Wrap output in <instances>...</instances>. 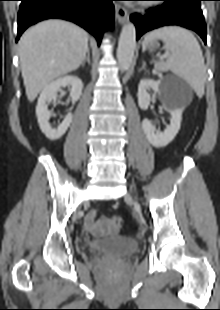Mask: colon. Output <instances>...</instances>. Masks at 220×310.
Masks as SVG:
<instances>
[{"label":"colon","mask_w":220,"mask_h":310,"mask_svg":"<svg viewBox=\"0 0 220 310\" xmlns=\"http://www.w3.org/2000/svg\"><path fill=\"white\" fill-rule=\"evenodd\" d=\"M122 220L120 217L115 216L112 218V223H111V228H112V232H115L119 229V227L121 226Z\"/></svg>","instance_id":"colon-1"}]
</instances>
